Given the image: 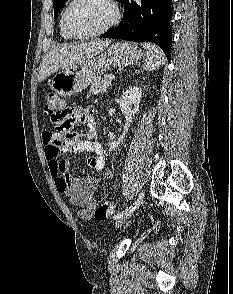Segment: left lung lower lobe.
Masks as SVG:
<instances>
[{
  "mask_svg": "<svg viewBox=\"0 0 233 294\" xmlns=\"http://www.w3.org/2000/svg\"><path fill=\"white\" fill-rule=\"evenodd\" d=\"M124 16L115 29L100 38L124 39L133 42H152L159 45L170 58L172 33V0H146L141 7L134 1L122 0Z\"/></svg>",
  "mask_w": 233,
  "mask_h": 294,
  "instance_id": "left-lung-lower-lobe-1",
  "label": "left lung lower lobe"
}]
</instances>
